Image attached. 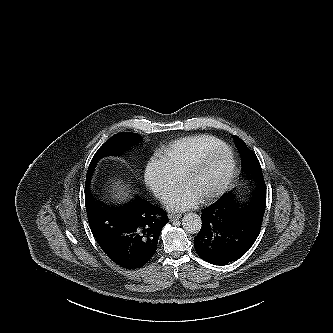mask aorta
<instances>
[{"mask_svg":"<svg viewBox=\"0 0 333 333\" xmlns=\"http://www.w3.org/2000/svg\"><path fill=\"white\" fill-rule=\"evenodd\" d=\"M182 226L187 233L197 234L202 226L201 217L196 213H187L182 219Z\"/></svg>","mask_w":333,"mask_h":333,"instance_id":"obj_1","label":"aorta"}]
</instances>
